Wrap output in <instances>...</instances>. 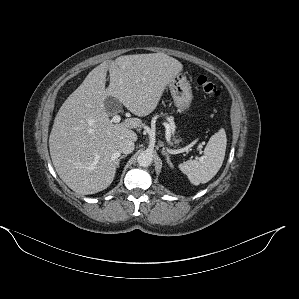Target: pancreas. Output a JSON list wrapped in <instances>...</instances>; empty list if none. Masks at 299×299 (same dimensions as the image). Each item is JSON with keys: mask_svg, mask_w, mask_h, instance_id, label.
Returning a JSON list of instances; mask_svg holds the SVG:
<instances>
[{"mask_svg": "<svg viewBox=\"0 0 299 299\" xmlns=\"http://www.w3.org/2000/svg\"><path fill=\"white\" fill-rule=\"evenodd\" d=\"M169 122H170V127H171V129H172V132H174L176 126H175V124H174V122H173V118H169ZM175 142H176V143H179L180 141H179L178 139H175Z\"/></svg>", "mask_w": 299, "mask_h": 299, "instance_id": "1", "label": "pancreas"}]
</instances>
